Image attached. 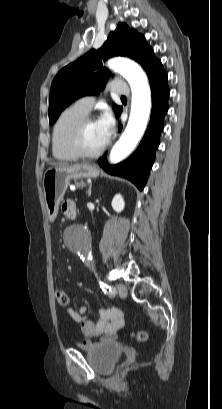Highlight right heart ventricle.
Instances as JSON below:
<instances>
[{"label":"right heart ventricle","mask_w":222,"mask_h":409,"mask_svg":"<svg viewBox=\"0 0 222 409\" xmlns=\"http://www.w3.org/2000/svg\"><path fill=\"white\" fill-rule=\"evenodd\" d=\"M87 114L74 104L63 110L57 118L52 132V153L57 160L70 161L77 158L69 146V138L75 125Z\"/></svg>","instance_id":"right-heart-ventricle-1"}]
</instances>
